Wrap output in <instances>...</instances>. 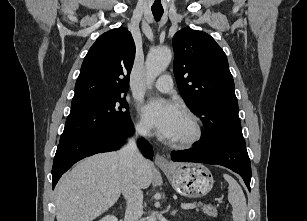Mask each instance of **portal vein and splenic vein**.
I'll return each instance as SVG.
<instances>
[{
    "mask_svg": "<svg viewBox=\"0 0 307 221\" xmlns=\"http://www.w3.org/2000/svg\"><path fill=\"white\" fill-rule=\"evenodd\" d=\"M196 204H192V203H185V204H182L181 205V208L182 209H185V210H189V209H194L196 208Z\"/></svg>",
    "mask_w": 307,
    "mask_h": 221,
    "instance_id": "1",
    "label": "portal vein and splenic vein"
}]
</instances>
